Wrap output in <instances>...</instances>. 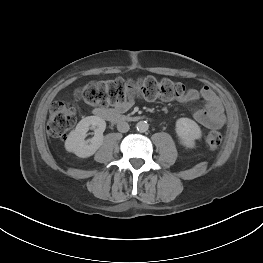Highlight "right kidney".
I'll return each instance as SVG.
<instances>
[{
    "label": "right kidney",
    "instance_id": "ca27d5eb",
    "mask_svg": "<svg viewBox=\"0 0 263 263\" xmlns=\"http://www.w3.org/2000/svg\"><path fill=\"white\" fill-rule=\"evenodd\" d=\"M89 129H94V136L85 140ZM106 129V122L98 116L83 118L71 131L65 141V148L81 158L92 156L103 143V132Z\"/></svg>",
    "mask_w": 263,
    "mask_h": 263
}]
</instances>
